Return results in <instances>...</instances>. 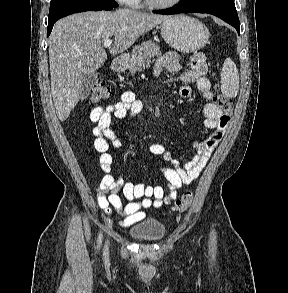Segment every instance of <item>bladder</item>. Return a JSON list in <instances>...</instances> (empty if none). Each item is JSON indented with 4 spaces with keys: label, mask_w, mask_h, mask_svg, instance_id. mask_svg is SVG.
<instances>
[{
    "label": "bladder",
    "mask_w": 288,
    "mask_h": 293,
    "mask_svg": "<svg viewBox=\"0 0 288 293\" xmlns=\"http://www.w3.org/2000/svg\"><path fill=\"white\" fill-rule=\"evenodd\" d=\"M165 233V227L157 220H147L130 229V236L138 241L153 242L160 240Z\"/></svg>",
    "instance_id": "1"
}]
</instances>
